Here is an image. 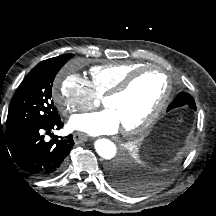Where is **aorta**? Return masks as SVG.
I'll return each mask as SVG.
<instances>
[{
	"mask_svg": "<svg viewBox=\"0 0 216 216\" xmlns=\"http://www.w3.org/2000/svg\"><path fill=\"white\" fill-rule=\"evenodd\" d=\"M95 150L99 156L104 159H112L115 157L117 148L115 144L108 139H98L95 142Z\"/></svg>",
	"mask_w": 216,
	"mask_h": 216,
	"instance_id": "1",
	"label": "aorta"
}]
</instances>
